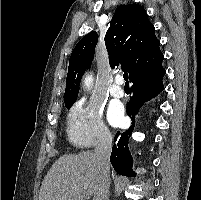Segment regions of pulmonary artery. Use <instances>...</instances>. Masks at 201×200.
<instances>
[{"instance_id":"obj_1","label":"pulmonary artery","mask_w":201,"mask_h":200,"mask_svg":"<svg viewBox=\"0 0 201 200\" xmlns=\"http://www.w3.org/2000/svg\"><path fill=\"white\" fill-rule=\"evenodd\" d=\"M122 84V77L116 76L114 80V84L110 88V94L111 96L115 98H122L124 96V90L121 87Z\"/></svg>"}]
</instances>
